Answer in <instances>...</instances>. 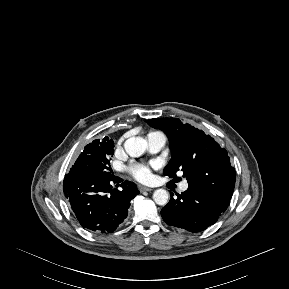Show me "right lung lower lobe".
Returning a JSON list of instances; mask_svg holds the SVG:
<instances>
[{"label":"right lung lower lobe","mask_w":289,"mask_h":289,"mask_svg":"<svg viewBox=\"0 0 289 289\" xmlns=\"http://www.w3.org/2000/svg\"><path fill=\"white\" fill-rule=\"evenodd\" d=\"M122 179L96 178L80 170L70 169L65 175V197L79 223L96 233H112L128 215L130 201L139 194L133 182L124 181L122 190L112 189V183ZM119 186V185H118Z\"/></svg>","instance_id":"1"}]
</instances>
